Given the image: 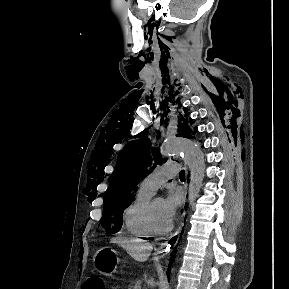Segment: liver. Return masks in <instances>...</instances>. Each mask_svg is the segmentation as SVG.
<instances>
[{"instance_id": "obj_1", "label": "liver", "mask_w": 289, "mask_h": 289, "mask_svg": "<svg viewBox=\"0 0 289 289\" xmlns=\"http://www.w3.org/2000/svg\"><path fill=\"white\" fill-rule=\"evenodd\" d=\"M112 243H116L124 248L127 253L134 258L136 261L145 262L150 256L152 246L138 239H123L113 238Z\"/></svg>"}]
</instances>
